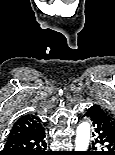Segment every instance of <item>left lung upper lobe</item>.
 <instances>
[{
	"instance_id": "left-lung-upper-lobe-1",
	"label": "left lung upper lobe",
	"mask_w": 115,
	"mask_h": 155,
	"mask_svg": "<svg viewBox=\"0 0 115 155\" xmlns=\"http://www.w3.org/2000/svg\"><path fill=\"white\" fill-rule=\"evenodd\" d=\"M106 113H107L109 120L111 121L112 128L115 130V116L107 111Z\"/></svg>"
}]
</instances>
